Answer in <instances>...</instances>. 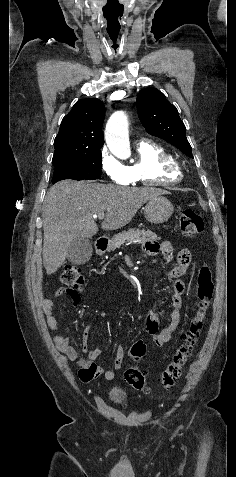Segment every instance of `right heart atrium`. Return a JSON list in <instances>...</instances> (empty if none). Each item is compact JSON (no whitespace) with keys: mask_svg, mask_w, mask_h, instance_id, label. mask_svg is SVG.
<instances>
[{"mask_svg":"<svg viewBox=\"0 0 236 477\" xmlns=\"http://www.w3.org/2000/svg\"><path fill=\"white\" fill-rule=\"evenodd\" d=\"M101 168L116 184L127 185L130 182L127 166L121 163L107 147H104L101 152Z\"/></svg>","mask_w":236,"mask_h":477,"instance_id":"right-heart-atrium-1","label":"right heart atrium"}]
</instances>
